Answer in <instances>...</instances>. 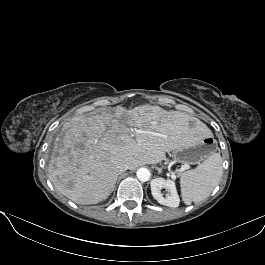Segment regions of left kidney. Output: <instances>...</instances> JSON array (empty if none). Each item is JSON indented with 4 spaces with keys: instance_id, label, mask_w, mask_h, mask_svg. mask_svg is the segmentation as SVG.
<instances>
[{
    "instance_id": "left-kidney-1",
    "label": "left kidney",
    "mask_w": 265,
    "mask_h": 265,
    "mask_svg": "<svg viewBox=\"0 0 265 265\" xmlns=\"http://www.w3.org/2000/svg\"><path fill=\"white\" fill-rule=\"evenodd\" d=\"M162 188H165L168 191L166 197L161 193ZM151 192L158 203L172 208L179 206L180 199L174 181L165 180L161 177L153 179L151 181Z\"/></svg>"
}]
</instances>
